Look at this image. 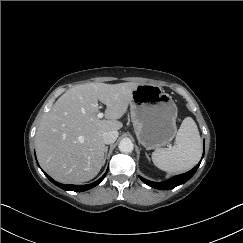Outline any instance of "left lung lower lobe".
I'll return each mask as SVG.
<instances>
[{"instance_id": "left-lung-lower-lobe-1", "label": "left lung lower lobe", "mask_w": 243, "mask_h": 243, "mask_svg": "<svg viewBox=\"0 0 243 243\" xmlns=\"http://www.w3.org/2000/svg\"><path fill=\"white\" fill-rule=\"evenodd\" d=\"M203 155H204V153H203ZM200 163H201V161L192 170H190L184 174L177 175L164 182H152V181L146 180L142 177H140V179L152 188L159 189V190H170V189H173L174 187L181 185V184L185 183L186 181H188L195 174Z\"/></svg>"}]
</instances>
